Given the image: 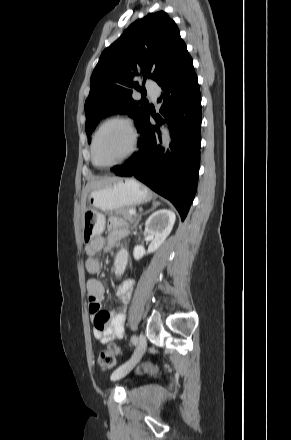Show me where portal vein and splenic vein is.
Listing matches in <instances>:
<instances>
[{"label":"portal vein and splenic vein","mask_w":291,"mask_h":440,"mask_svg":"<svg viewBox=\"0 0 291 440\" xmlns=\"http://www.w3.org/2000/svg\"><path fill=\"white\" fill-rule=\"evenodd\" d=\"M129 213H130L131 215H133V216L136 215V211H135L134 209H130V210H129Z\"/></svg>","instance_id":"18ae733b"}]
</instances>
